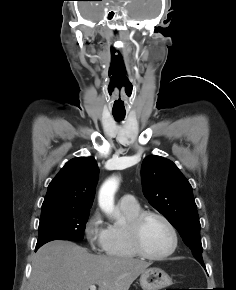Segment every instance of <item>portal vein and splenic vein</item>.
<instances>
[{
    "mask_svg": "<svg viewBox=\"0 0 236 290\" xmlns=\"http://www.w3.org/2000/svg\"><path fill=\"white\" fill-rule=\"evenodd\" d=\"M89 288H90V290H96V286L95 285H91Z\"/></svg>",
    "mask_w": 236,
    "mask_h": 290,
    "instance_id": "18ae733b",
    "label": "portal vein and splenic vein"
}]
</instances>
